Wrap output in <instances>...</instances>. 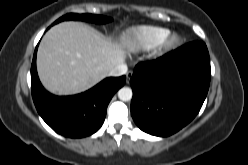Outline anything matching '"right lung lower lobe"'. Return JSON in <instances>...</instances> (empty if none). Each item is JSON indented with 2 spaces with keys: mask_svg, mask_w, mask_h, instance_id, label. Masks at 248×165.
Wrapping results in <instances>:
<instances>
[{
  "mask_svg": "<svg viewBox=\"0 0 248 165\" xmlns=\"http://www.w3.org/2000/svg\"><path fill=\"white\" fill-rule=\"evenodd\" d=\"M36 53L31 65V89L36 109L57 133L81 138L95 133L103 124L107 106L125 83V76L106 78L92 89L74 96L59 97L47 92L36 71Z\"/></svg>",
  "mask_w": 248,
  "mask_h": 165,
  "instance_id": "obj_1",
  "label": "right lung lower lobe"
}]
</instances>
